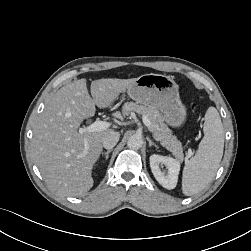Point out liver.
<instances>
[{
  "label": "liver",
  "instance_id": "liver-1",
  "mask_svg": "<svg viewBox=\"0 0 251 251\" xmlns=\"http://www.w3.org/2000/svg\"><path fill=\"white\" fill-rule=\"evenodd\" d=\"M135 80L92 81L91 97L86 79H79L60 88L48 101L34 124L31 146L34 161L53 190L81 196L91 189L92 169L102 152L103 139L114 130L80 133L79 126L95 115L96 106L111 107Z\"/></svg>",
  "mask_w": 251,
  "mask_h": 251
}]
</instances>
